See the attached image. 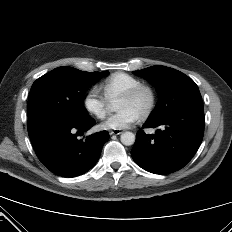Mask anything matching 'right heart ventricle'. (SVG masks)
<instances>
[{"label": "right heart ventricle", "instance_id": "e07e8e85", "mask_svg": "<svg viewBox=\"0 0 232 232\" xmlns=\"http://www.w3.org/2000/svg\"><path fill=\"white\" fill-rule=\"evenodd\" d=\"M142 81L128 73L116 72L107 77L100 88L108 101L119 98L123 93L141 84Z\"/></svg>", "mask_w": 232, "mask_h": 232}]
</instances>
